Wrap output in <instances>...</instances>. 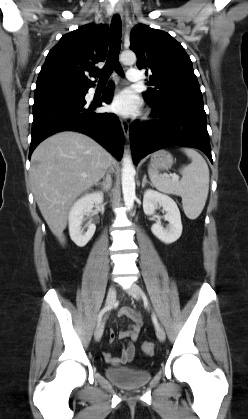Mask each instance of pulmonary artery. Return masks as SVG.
<instances>
[{
    "label": "pulmonary artery",
    "mask_w": 248,
    "mask_h": 419,
    "mask_svg": "<svg viewBox=\"0 0 248 419\" xmlns=\"http://www.w3.org/2000/svg\"><path fill=\"white\" fill-rule=\"evenodd\" d=\"M127 79L131 82H140L141 74L138 68L131 67L127 71Z\"/></svg>",
    "instance_id": "1"
}]
</instances>
